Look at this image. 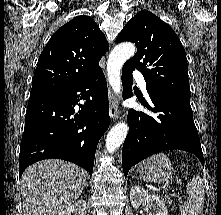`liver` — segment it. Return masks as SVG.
<instances>
[{
	"instance_id": "obj_1",
	"label": "liver",
	"mask_w": 221,
	"mask_h": 215,
	"mask_svg": "<svg viewBox=\"0 0 221 215\" xmlns=\"http://www.w3.org/2000/svg\"><path fill=\"white\" fill-rule=\"evenodd\" d=\"M85 183V170L64 160L29 166L21 181L24 215H57L79 198Z\"/></svg>"
}]
</instances>
